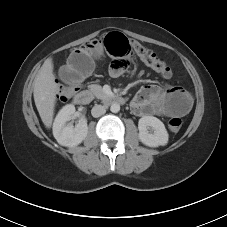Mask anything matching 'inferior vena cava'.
I'll use <instances>...</instances> for the list:
<instances>
[{
  "instance_id": "obj_1",
  "label": "inferior vena cava",
  "mask_w": 227,
  "mask_h": 227,
  "mask_svg": "<svg viewBox=\"0 0 227 227\" xmlns=\"http://www.w3.org/2000/svg\"><path fill=\"white\" fill-rule=\"evenodd\" d=\"M105 113H106V108L101 105H95L91 110V114L95 118L100 117V116L104 115Z\"/></svg>"
}]
</instances>
